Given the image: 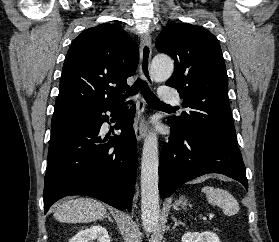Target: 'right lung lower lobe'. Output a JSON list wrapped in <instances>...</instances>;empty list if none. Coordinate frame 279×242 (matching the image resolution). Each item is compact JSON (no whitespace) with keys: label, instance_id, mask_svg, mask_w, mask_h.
Returning <instances> with one entry per match:
<instances>
[{"label":"right lung lower lobe","instance_id":"1","mask_svg":"<svg viewBox=\"0 0 279 242\" xmlns=\"http://www.w3.org/2000/svg\"><path fill=\"white\" fill-rule=\"evenodd\" d=\"M110 111L121 135L103 138L100 128ZM135 106L87 111L79 120L51 134L44 185V213L68 195L97 198L117 209L131 210L138 163L133 131ZM109 138V140H108ZM108 140V142H106ZM106 142V143H105Z\"/></svg>","mask_w":279,"mask_h":242}]
</instances>
